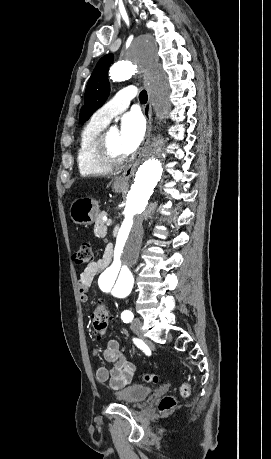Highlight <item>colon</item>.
Segmentation results:
<instances>
[{
	"instance_id": "1",
	"label": "colon",
	"mask_w": 271,
	"mask_h": 459,
	"mask_svg": "<svg viewBox=\"0 0 271 459\" xmlns=\"http://www.w3.org/2000/svg\"><path fill=\"white\" fill-rule=\"evenodd\" d=\"M94 259V254L91 245L88 242H83L78 250L73 255V260L76 264L90 263ZM109 314L105 303H99L92 312L91 325L95 334L103 336L108 330ZM145 380L149 382H157L158 378L154 374H146ZM181 394L188 396L190 387L187 383H183L180 387ZM176 405V399L173 396H166L160 402V410L167 412L172 410Z\"/></svg>"
}]
</instances>
